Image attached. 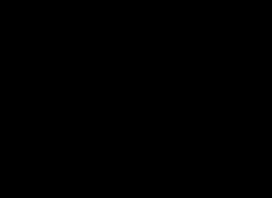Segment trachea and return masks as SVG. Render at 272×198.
<instances>
[{
	"instance_id": "1",
	"label": "trachea",
	"mask_w": 272,
	"mask_h": 198,
	"mask_svg": "<svg viewBox=\"0 0 272 198\" xmlns=\"http://www.w3.org/2000/svg\"><path fill=\"white\" fill-rule=\"evenodd\" d=\"M135 74L136 75H140V74H142L143 73V70L142 69H140V68H138V67H135Z\"/></svg>"
}]
</instances>
